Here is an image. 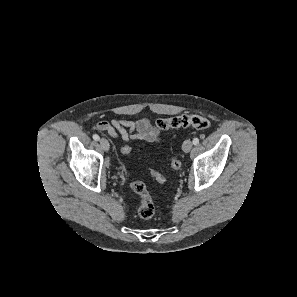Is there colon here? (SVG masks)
Segmentation results:
<instances>
[{"label":"colon","instance_id":"colon-1","mask_svg":"<svg viewBox=\"0 0 297 297\" xmlns=\"http://www.w3.org/2000/svg\"><path fill=\"white\" fill-rule=\"evenodd\" d=\"M157 127L160 130L192 127L197 130L204 131L210 128V121L207 118L202 117L200 115L182 114L164 119H159L157 121ZM130 151L131 147L129 145H125L120 148V153L122 155H127ZM180 165V160L177 157H173L171 159L170 166L173 170L179 169ZM151 174L157 182H167V178L164 175L156 171H152ZM130 187L141 198V204L138 209L139 216L142 219H150L155 213V207L146 185L142 181H133L130 184Z\"/></svg>","mask_w":297,"mask_h":297}]
</instances>
